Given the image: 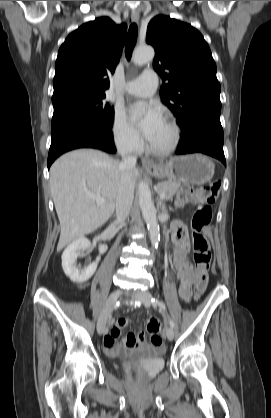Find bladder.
Wrapping results in <instances>:
<instances>
[{"label":"bladder","instance_id":"obj_1","mask_svg":"<svg viewBox=\"0 0 271 418\" xmlns=\"http://www.w3.org/2000/svg\"><path fill=\"white\" fill-rule=\"evenodd\" d=\"M165 360L163 351L152 352L144 361L143 368L148 377H153L163 370Z\"/></svg>","mask_w":271,"mask_h":418}]
</instances>
